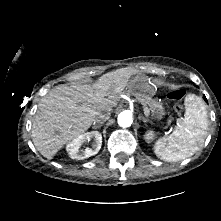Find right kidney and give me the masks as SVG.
I'll use <instances>...</instances> for the list:
<instances>
[{
	"instance_id": "ca27d5eb",
	"label": "right kidney",
	"mask_w": 221,
	"mask_h": 221,
	"mask_svg": "<svg viewBox=\"0 0 221 221\" xmlns=\"http://www.w3.org/2000/svg\"><path fill=\"white\" fill-rule=\"evenodd\" d=\"M94 138L92 148H86L85 150H80L81 145L85 141H89ZM102 145V135L98 131L87 132L78 135L74 138L67 146L66 150L72 159L83 160L97 154Z\"/></svg>"
}]
</instances>
